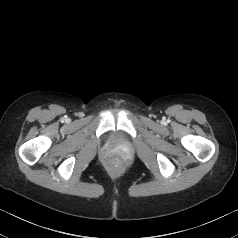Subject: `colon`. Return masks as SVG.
<instances>
[{
  "label": "colon",
  "mask_w": 238,
  "mask_h": 238,
  "mask_svg": "<svg viewBox=\"0 0 238 238\" xmlns=\"http://www.w3.org/2000/svg\"><path fill=\"white\" fill-rule=\"evenodd\" d=\"M111 166H112L113 170H115V171H119L121 169V165L117 161H113Z\"/></svg>",
  "instance_id": "obj_1"
}]
</instances>
